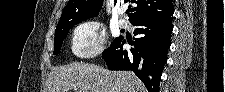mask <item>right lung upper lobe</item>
<instances>
[{"label":"right lung upper lobe","mask_w":225,"mask_h":92,"mask_svg":"<svg viewBox=\"0 0 225 92\" xmlns=\"http://www.w3.org/2000/svg\"><path fill=\"white\" fill-rule=\"evenodd\" d=\"M131 2L137 4L129 16L132 24L141 19L165 17L174 12L171 0H131ZM102 4L103 0H69L57 26L70 25L94 17L99 13Z\"/></svg>","instance_id":"1"}]
</instances>
